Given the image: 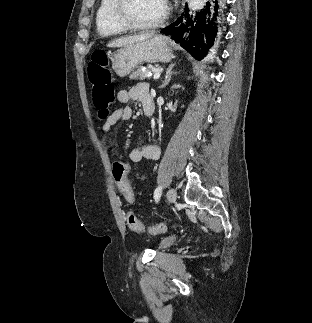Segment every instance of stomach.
I'll use <instances>...</instances> for the list:
<instances>
[{"label":"stomach","instance_id":"stomach-1","mask_svg":"<svg viewBox=\"0 0 312 323\" xmlns=\"http://www.w3.org/2000/svg\"><path fill=\"white\" fill-rule=\"evenodd\" d=\"M171 40L168 36H153L149 40L133 42L117 50L112 60V68L120 78L133 72L135 66L144 62H170L172 58Z\"/></svg>","mask_w":312,"mask_h":323}]
</instances>
